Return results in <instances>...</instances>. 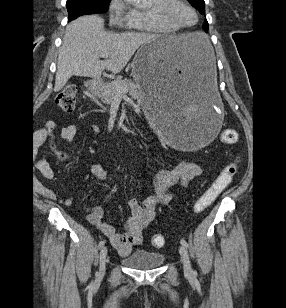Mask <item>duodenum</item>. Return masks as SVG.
Returning <instances> with one entry per match:
<instances>
[{
	"instance_id": "obj_1",
	"label": "duodenum",
	"mask_w": 286,
	"mask_h": 308,
	"mask_svg": "<svg viewBox=\"0 0 286 308\" xmlns=\"http://www.w3.org/2000/svg\"><path fill=\"white\" fill-rule=\"evenodd\" d=\"M100 86H101V81L100 80H96L93 83V85H92V89L96 91V90H98L100 88Z\"/></svg>"
}]
</instances>
